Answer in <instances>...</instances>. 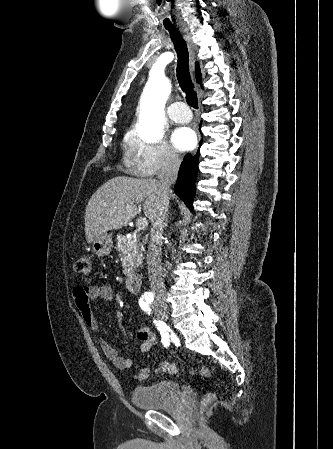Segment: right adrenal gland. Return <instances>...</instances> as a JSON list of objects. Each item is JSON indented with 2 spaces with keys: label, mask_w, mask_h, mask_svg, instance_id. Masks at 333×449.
I'll return each instance as SVG.
<instances>
[{
  "label": "right adrenal gland",
  "mask_w": 333,
  "mask_h": 449,
  "mask_svg": "<svg viewBox=\"0 0 333 449\" xmlns=\"http://www.w3.org/2000/svg\"><path fill=\"white\" fill-rule=\"evenodd\" d=\"M168 219L165 220V226H167Z\"/></svg>",
  "instance_id": "obj_1"
}]
</instances>
